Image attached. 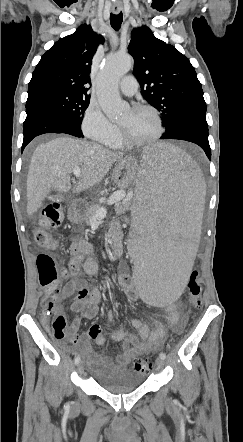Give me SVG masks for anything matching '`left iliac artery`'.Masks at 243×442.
I'll use <instances>...</instances> for the list:
<instances>
[{
    "instance_id": "1",
    "label": "left iliac artery",
    "mask_w": 243,
    "mask_h": 442,
    "mask_svg": "<svg viewBox=\"0 0 243 442\" xmlns=\"http://www.w3.org/2000/svg\"><path fill=\"white\" fill-rule=\"evenodd\" d=\"M160 358H162L163 360L166 359V354L164 352H161L159 354Z\"/></svg>"
}]
</instances>
